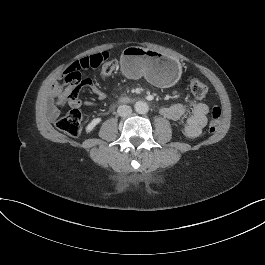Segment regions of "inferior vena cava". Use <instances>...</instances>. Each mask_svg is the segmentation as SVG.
<instances>
[{"instance_id":"inferior-vena-cava-1","label":"inferior vena cava","mask_w":265,"mask_h":265,"mask_svg":"<svg viewBox=\"0 0 265 265\" xmlns=\"http://www.w3.org/2000/svg\"><path fill=\"white\" fill-rule=\"evenodd\" d=\"M119 116L125 117L132 113V108L128 105H120L117 109Z\"/></svg>"}]
</instances>
